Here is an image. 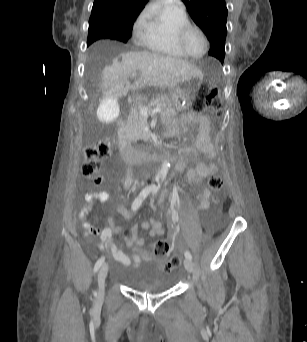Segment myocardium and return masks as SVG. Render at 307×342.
<instances>
[{"label":"myocardium","instance_id":"1","mask_svg":"<svg viewBox=\"0 0 307 342\" xmlns=\"http://www.w3.org/2000/svg\"><path fill=\"white\" fill-rule=\"evenodd\" d=\"M194 28H198L200 30L204 39L205 49H204L203 54L200 57L192 56L186 48V37L189 31ZM177 45L188 59L192 61H200L204 59L209 51V39H208V34H207L205 27L200 22H197L195 20H189L183 23L177 32Z\"/></svg>","mask_w":307,"mask_h":342}]
</instances>
